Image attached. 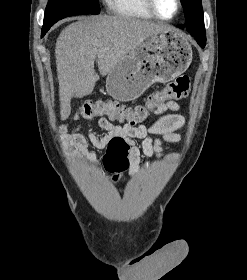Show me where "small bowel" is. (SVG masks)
Wrapping results in <instances>:
<instances>
[{
    "mask_svg": "<svg viewBox=\"0 0 247 280\" xmlns=\"http://www.w3.org/2000/svg\"><path fill=\"white\" fill-rule=\"evenodd\" d=\"M180 106L171 101L165 103L157 110L155 115H162L152 125L146 126L114 124L111 119L102 117L98 121L99 127L104 131L102 136H98L92 128L87 131V136L81 132V127L76 126L72 132H67V126L61 128L67 149L75 162L84 161L91 165H97L98 160L94 152L88 150L90 143L97 149H106L114 139H122L129 145L130 171L135 174L140 166L141 158L145 160L153 155L166 160H174L176 154H164L163 141L179 142L180 134L177 133L184 124V118L178 114ZM171 111L169 114H164ZM158 136L161 138H155ZM142 141L141 149L135 144V140Z\"/></svg>",
    "mask_w": 247,
    "mask_h": 280,
    "instance_id": "obj_1",
    "label": "small bowel"
}]
</instances>
